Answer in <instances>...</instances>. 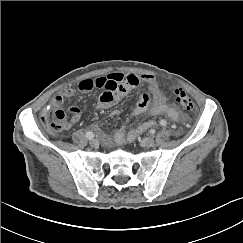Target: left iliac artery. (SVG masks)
<instances>
[{
	"instance_id": "left-iliac-artery-1",
	"label": "left iliac artery",
	"mask_w": 243,
	"mask_h": 243,
	"mask_svg": "<svg viewBox=\"0 0 243 243\" xmlns=\"http://www.w3.org/2000/svg\"><path fill=\"white\" fill-rule=\"evenodd\" d=\"M159 123L161 126H166V124H167L166 120H164V119L160 120Z\"/></svg>"
}]
</instances>
